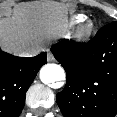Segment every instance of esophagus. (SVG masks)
I'll return each instance as SVG.
<instances>
[{
	"label": "esophagus",
	"mask_w": 117,
	"mask_h": 117,
	"mask_svg": "<svg viewBox=\"0 0 117 117\" xmlns=\"http://www.w3.org/2000/svg\"><path fill=\"white\" fill-rule=\"evenodd\" d=\"M47 61L48 62H54L55 61V58H54V56L51 52L47 53Z\"/></svg>",
	"instance_id": "obj_1"
}]
</instances>
